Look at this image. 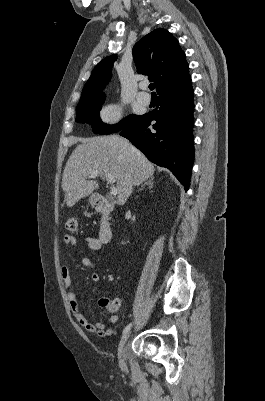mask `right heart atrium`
Segmentation results:
<instances>
[{
  "label": "right heart atrium",
  "mask_w": 265,
  "mask_h": 401,
  "mask_svg": "<svg viewBox=\"0 0 265 401\" xmlns=\"http://www.w3.org/2000/svg\"><path fill=\"white\" fill-rule=\"evenodd\" d=\"M102 120L108 124H116L121 121L123 107L118 102H111L104 105L100 110Z\"/></svg>",
  "instance_id": "right-heart-atrium-1"
}]
</instances>
